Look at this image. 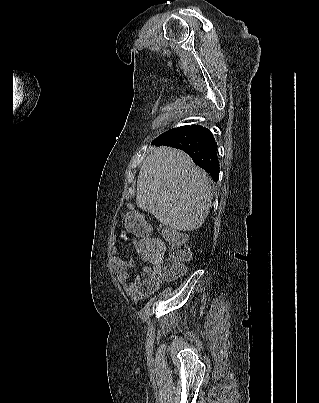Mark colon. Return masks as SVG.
Returning <instances> with one entry per match:
<instances>
[{
  "label": "colon",
  "mask_w": 319,
  "mask_h": 403,
  "mask_svg": "<svg viewBox=\"0 0 319 403\" xmlns=\"http://www.w3.org/2000/svg\"><path fill=\"white\" fill-rule=\"evenodd\" d=\"M124 222L130 232L139 236V241L134 246L135 251L153 263L152 268L137 278L136 293L139 296L151 294L158 289L161 282L184 274L186 263L191 259V250L184 232L171 228L162 230L164 241L170 245V254L164 257L163 243L151 240L147 223L139 211L128 212Z\"/></svg>",
  "instance_id": "1"
}]
</instances>
